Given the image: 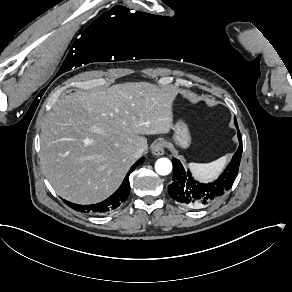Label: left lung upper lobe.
Listing matches in <instances>:
<instances>
[{
	"label": "left lung upper lobe",
	"mask_w": 292,
	"mask_h": 292,
	"mask_svg": "<svg viewBox=\"0 0 292 292\" xmlns=\"http://www.w3.org/2000/svg\"><path fill=\"white\" fill-rule=\"evenodd\" d=\"M235 125H236V127H237V122H236V119H235Z\"/></svg>",
	"instance_id": "obj_1"
}]
</instances>
